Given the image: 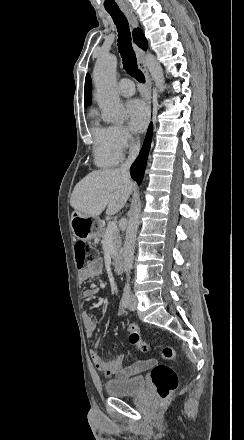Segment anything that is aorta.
<instances>
[{"mask_svg":"<svg viewBox=\"0 0 244 440\" xmlns=\"http://www.w3.org/2000/svg\"><path fill=\"white\" fill-rule=\"evenodd\" d=\"M147 68L160 92L163 91L165 78L163 69L152 54L145 57ZM117 58L114 55L100 57L93 71L96 86V100L102 111L103 120L109 123H123L126 114L123 103L117 93L116 80ZM141 201H138L132 211L126 228L123 246V265L126 275V283L130 281V273L133 267L135 241L140 222Z\"/></svg>","mask_w":244,"mask_h":440,"instance_id":"obj_1","label":"aorta"}]
</instances>
